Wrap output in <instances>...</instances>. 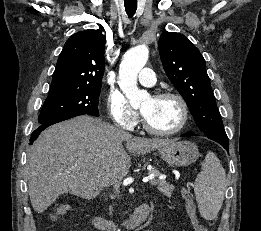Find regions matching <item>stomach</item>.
I'll list each match as a JSON object with an SVG mask.
<instances>
[{"mask_svg": "<svg viewBox=\"0 0 261 231\" xmlns=\"http://www.w3.org/2000/svg\"><path fill=\"white\" fill-rule=\"evenodd\" d=\"M158 153L163 160L175 167L191 165L200 155L196 144L176 140L159 147Z\"/></svg>", "mask_w": 261, "mask_h": 231, "instance_id": "1", "label": "stomach"}]
</instances>
